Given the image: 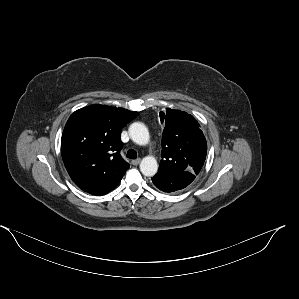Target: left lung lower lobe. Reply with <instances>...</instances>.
Here are the masks:
<instances>
[{
	"label": "left lung lower lobe",
	"mask_w": 299,
	"mask_h": 299,
	"mask_svg": "<svg viewBox=\"0 0 299 299\" xmlns=\"http://www.w3.org/2000/svg\"><path fill=\"white\" fill-rule=\"evenodd\" d=\"M195 176L187 171L183 172H158L153 178V184L164 192H175L187 187Z\"/></svg>",
	"instance_id": "0a47b994"
}]
</instances>
